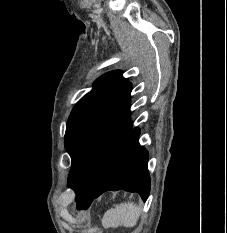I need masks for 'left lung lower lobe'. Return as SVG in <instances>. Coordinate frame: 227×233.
I'll list each match as a JSON object with an SVG mask.
<instances>
[{
    "instance_id": "1",
    "label": "left lung lower lobe",
    "mask_w": 227,
    "mask_h": 233,
    "mask_svg": "<svg viewBox=\"0 0 227 233\" xmlns=\"http://www.w3.org/2000/svg\"><path fill=\"white\" fill-rule=\"evenodd\" d=\"M140 130H131L112 154L92 193L76 201L78 209H87L92 201L108 190L137 192L145 201L150 191L147 168L149 154L138 142Z\"/></svg>"
}]
</instances>
